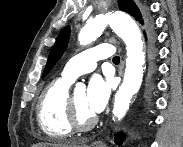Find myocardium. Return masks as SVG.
Wrapping results in <instances>:
<instances>
[{"label": "myocardium", "instance_id": "1", "mask_svg": "<svg viewBox=\"0 0 183 147\" xmlns=\"http://www.w3.org/2000/svg\"><path fill=\"white\" fill-rule=\"evenodd\" d=\"M68 114L72 127L77 131L90 130L97 123V117L95 115L88 120L80 117L72 96H69L68 99Z\"/></svg>", "mask_w": 183, "mask_h": 147}]
</instances>
